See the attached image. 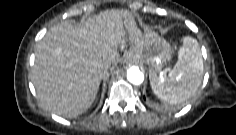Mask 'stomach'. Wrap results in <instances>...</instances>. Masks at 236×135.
I'll return each mask as SVG.
<instances>
[{
	"label": "stomach",
	"mask_w": 236,
	"mask_h": 135,
	"mask_svg": "<svg viewBox=\"0 0 236 135\" xmlns=\"http://www.w3.org/2000/svg\"><path fill=\"white\" fill-rule=\"evenodd\" d=\"M131 56L148 65L149 75L159 74L171 58L170 44L155 32L144 35L142 46L137 51H131Z\"/></svg>",
	"instance_id": "1"
}]
</instances>
